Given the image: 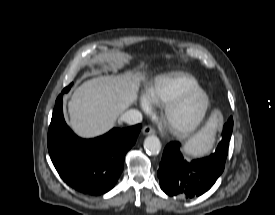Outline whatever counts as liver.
I'll list each match as a JSON object with an SVG mask.
<instances>
[{
	"label": "liver",
	"mask_w": 275,
	"mask_h": 215,
	"mask_svg": "<svg viewBox=\"0 0 275 215\" xmlns=\"http://www.w3.org/2000/svg\"><path fill=\"white\" fill-rule=\"evenodd\" d=\"M146 74L127 70L85 81L68 102L70 126L83 138L110 130L121 114L138 99Z\"/></svg>",
	"instance_id": "1"
}]
</instances>
